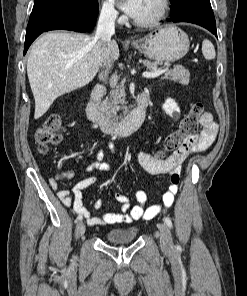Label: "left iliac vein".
<instances>
[{
  "label": "left iliac vein",
  "mask_w": 247,
  "mask_h": 296,
  "mask_svg": "<svg viewBox=\"0 0 247 296\" xmlns=\"http://www.w3.org/2000/svg\"><path fill=\"white\" fill-rule=\"evenodd\" d=\"M159 232H160V246L165 251L173 250V241L170 229L164 223L158 224Z\"/></svg>",
  "instance_id": "4c4485c4"
}]
</instances>
